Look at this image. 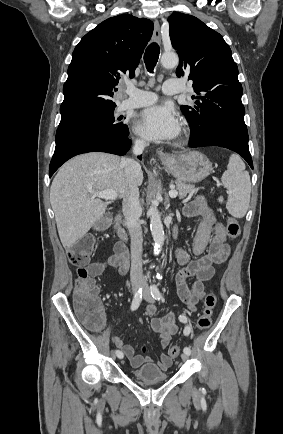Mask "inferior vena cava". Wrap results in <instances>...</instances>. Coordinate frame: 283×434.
<instances>
[{
    "label": "inferior vena cava",
    "mask_w": 283,
    "mask_h": 434,
    "mask_svg": "<svg viewBox=\"0 0 283 434\" xmlns=\"http://www.w3.org/2000/svg\"><path fill=\"white\" fill-rule=\"evenodd\" d=\"M147 143L143 140H136L133 146V153L139 155L144 151ZM124 167L127 192L123 197L122 211L125 217L126 226L131 236V272L132 283L142 282V228L139 219L142 209L139 202V189L136 184V177L141 170L140 164L131 158H124L121 161Z\"/></svg>",
    "instance_id": "obj_1"
}]
</instances>
